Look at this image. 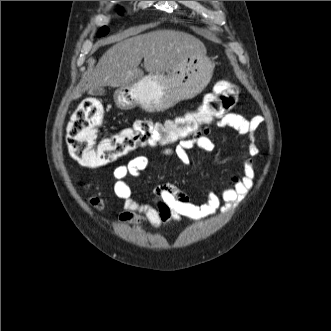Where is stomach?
I'll use <instances>...</instances> for the list:
<instances>
[{"label":"stomach","mask_w":331,"mask_h":331,"mask_svg":"<svg viewBox=\"0 0 331 331\" xmlns=\"http://www.w3.org/2000/svg\"><path fill=\"white\" fill-rule=\"evenodd\" d=\"M214 64L205 53H197L165 76L148 74L115 93L121 109L140 107L146 112L165 111L199 94L209 83Z\"/></svg>","instance_id":"0dacf381"}]
</instances>
